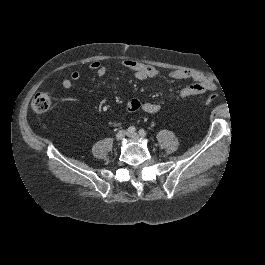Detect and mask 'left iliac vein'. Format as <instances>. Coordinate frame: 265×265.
<instances>
[{
	"label": "left iliac vein",
	"mask_w": 265,
	"mask_h": 265,
	"mask_svg": "<svg viewBox=\"0 0 265 265\" xmlns=\"http://www.w3.org/2000/svg\"><path fill=\"white\" fill-rule=\"evenodd\" d=\"M127 135H128L130 138L135 139V140H137V139H142V137H140V135L137 134V133H128Z\"/></svg>",
	"instance_id": "1"
}]
</instances>
